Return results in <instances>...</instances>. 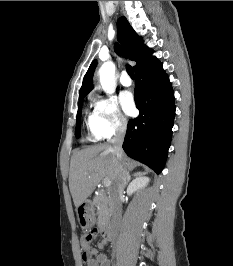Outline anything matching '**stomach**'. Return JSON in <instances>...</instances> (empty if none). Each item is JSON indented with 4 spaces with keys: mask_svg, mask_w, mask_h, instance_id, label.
Masks as SVG:
<instances>
[{
    "mask_svg": "<svg viewBox=\"0 0 233 266\" xmlns=\"http://www.w3.org/2000/svg\"><path fill=\"white\" fill-rule=\"evenodd\" d=\"M94 204H79V209H75V214H79L80 228H91L95 223Z\"/></svg>",
    "mask_w": 233,
    "mask_h": 266,
    "instance_id": "stomach-1",
    "label": "stomach"
}]
</instances>
